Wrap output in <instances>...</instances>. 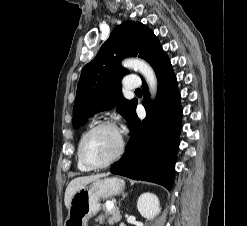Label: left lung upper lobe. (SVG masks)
Wrapping results in <instances>:
<instances>
[{"label": "left lung upper lobe", "mask_w": 247, "mask_h": 226, "mask_svg": "<svg viewBox=\"0 0 247 226\" xmlns=\"http://www.w3.org/2000/svg\"><path fill=\"white\" fill-rule=\"evenodd\" d=\"M161 49L157 37L144 24L126 21L117 26L96 57L82 69L73 108V127L77 129L96 112L110 109L115 100L117 111L129 122L137 100H127L121 94V79L127 73L121 60L138 56L151 64Z\"/></svg>", "instance_id": "1"}]
</instances>
